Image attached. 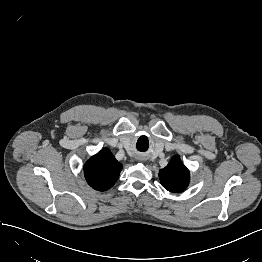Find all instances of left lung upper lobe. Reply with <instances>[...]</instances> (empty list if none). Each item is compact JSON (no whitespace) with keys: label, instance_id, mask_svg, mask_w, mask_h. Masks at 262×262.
Wrapping results in <instances>:
<instances>
[{"label":"left lung upper lobe","instance_id":"left-lung-upper-lobe-1","mask_svg":"<svg viewBox=\"0 0 262 262\" xmlns=\"http://www.w3.org/2000/svg\"><path fill=\"white\" fill-rule=\"evenodd\" d=\"M162 186L170 192H182L189 184V170L179 156H174L169 164L159 171Z\"/></svg>","mask_w":262,"mask_h":262}]
</instances>
